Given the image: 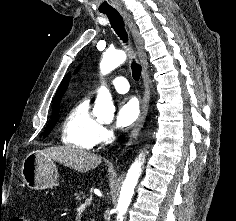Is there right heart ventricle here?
<instances>
[{
    "label": "right heart ventricle",
    "instance_id": "e07e8e85",
    "mask_svg": "<svg viewBox=\"0 0 236 221\" xmlns=\"http://www.w3.org/2000/svg\"><path fill=\"white\" fill-rule=\"evenodd\" d=\"M100 124L90 111L89 98L79 100L62 122V142L71 148L91 150L98 143Z\"/></svg>",
    "mask_w": 236,
    "mask_h": 221
}]
</instances>
